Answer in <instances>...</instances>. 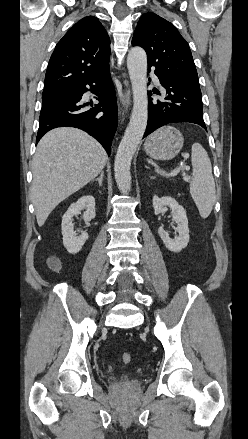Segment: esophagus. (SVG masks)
I'll use <instances>...</instances> for the list:
<instances>
[{"mask_svg": "<svg viewBox=\"0 0 248 439\" xmlns=\"http://www.w3.org/2000/svg\"><path fill=\"white\" fill-rule=\"evenodd\" d=\"M131 102H132L131 91L129 88H127L124 91L123 106L119 107V112H120V115L122 117L128 112V109L130 108Z\"/></svg>", "mask_w": 248, "mask_h": 439, "instance_id": "1", "label": "esophagus"}]
</instances>
